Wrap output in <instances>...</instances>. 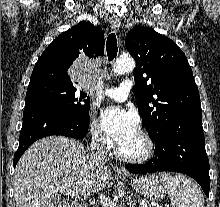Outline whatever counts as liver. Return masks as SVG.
<instances>
[{
  "label": "liver",
  "instance_id": "6515ba94",
  "mask_svg": "<svg viewBox=\"0 0 220 207\" xmlns=\"http://www.w3.org/2000/svg\"><path fill=\"white\" fill-rule=\"evenodd\" d=\"M109 178L105 163H93L78 141L62 136L42 138L26 150L15 168L16 207H60L55 188L90 196L102 190Z\"/></svg>",
  "mask_w": 220,
  "mask_h": 207
}]
</instances>
